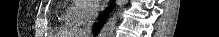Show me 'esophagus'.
Here are the masks:
<instances>
[{
  "mask_svg": "<svg viewBox=\"0 0 219 37\" xmlns=\"http://www.w3.org/2000/svg\"><path fill=\"white\" fill-rule=\"evenodd\" d=\"M111 3L110 0H106L103 6V10ZM103 12V11H102Z\"/></svg>",
  "mask_w": 219,
  "mask_h": 37,
  "instance_id": "1",
  "label": "esophagus"
}]
</instances>
